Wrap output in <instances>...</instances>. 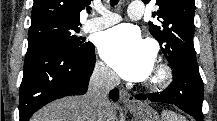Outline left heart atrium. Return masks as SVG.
<instances>
[{
  "instance_id": "obj_1",
  "label": "left heart atrium",
  "mask_w": 217,
  "mask_h": 121,
  "mask_svg": "<svg viewBox=\"0 0 217 121\" xmlns=\"http://www.w3.org/2000/svg\"><path fill=\"white\" fill-rule=\"evenodd\" d=\"M99 52L104 61L124 79L141 81L153 71L154 51L132 27L117 26L104 32Z\"/></svg>"
}]
</instances>
